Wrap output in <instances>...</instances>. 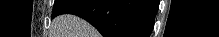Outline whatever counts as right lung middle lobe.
<instances>
[{
    "label": "right lung middle lobe",
    "mask_w": 219,
    "mask_h": 37,
    "mask_svg": "<svg viewBox=\"0 0 219 37\" xmlns=\"http://www.w3.org/2000/svg\"><path fill=\"white\" fill-rule=\"evenodd\" d=\"M71 0H56L54 3V8L52 10V17L56 16L57 13L59 12V10L66 5L67 3H69Z\"/></svg>",
    "instance_id": "dd1d6c3e"
}]
</instances>
